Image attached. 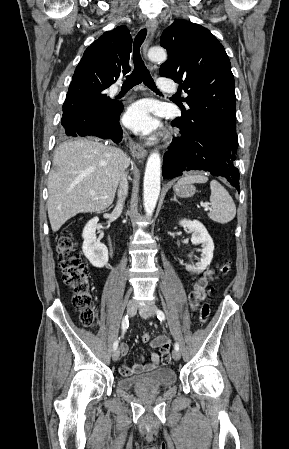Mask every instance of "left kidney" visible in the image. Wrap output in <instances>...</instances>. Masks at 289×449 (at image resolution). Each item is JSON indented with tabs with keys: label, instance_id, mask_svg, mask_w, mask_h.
<instances>
[{
	"label": "left kidney",
	"instance_id": "1",
	"mask_svg": "<svg viewBox=\"0 0 289 449\" xmlns=\"http://www.w3.org/2000/svg\"><path fill=\"white\" fill-rule=\"evenodd\" d=\"M179 224L183 227H187L189 233H192V244H202V254L200 262L193 264H187L186 270L193 273L203 272L211 263L213 258L214 243L211 236L208 234L205 226L197 220H181Z\"/></svg>",
	"mask_w": 289,
	"mask_h": 449
}]
</instances>
